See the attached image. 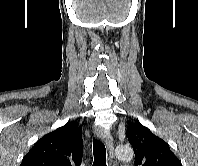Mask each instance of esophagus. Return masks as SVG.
<instances>
[{"mask_svg": "<svg viewBox=\"0 0 198 166\" xmlns=\"http://www.w3.org/2000/svg\"><path fill=\"white\" fill-rule=\"evenodd\" d=\"M95 133L98 139L105 142L108 150L109 159L112 161L114 159V143L111 134L102 127H97L95 129Z\"/></svg>", "mask_w": 198, "mask_h": 166, "instance_id": "obj_1", "label": "esophagus"}]
</instances>
